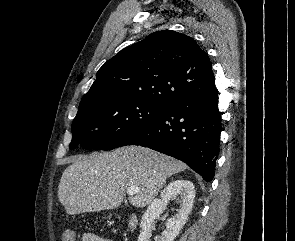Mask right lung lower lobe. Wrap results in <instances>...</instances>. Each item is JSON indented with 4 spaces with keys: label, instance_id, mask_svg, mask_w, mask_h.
<instances>
[{
    "label": "right lung lower lobe",
    "instance_id": "obj_1",
    "mask_svg": "<svg viewBox=\"0 0 295 241\" xmlns=\"http://www.w3.org/2000/svg\"><path fill=\"white\" fill-rule=\"evenodd\" d=\"M221 130L214 84L173 99L158 116L127 135L118 147L141 145L170 155L209 182L214 177Z\"/></svg>",
    "mask_w": 295,
    "mask_h": 241
}]
</instances>
